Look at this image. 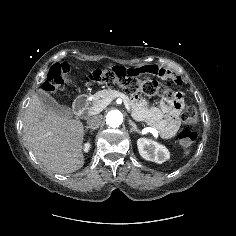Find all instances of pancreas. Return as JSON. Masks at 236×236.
I'll use <instances>...</instances> for the list:
<instances>
[{"instance_id": "1", "label": "pancreas", "mask_w": 236, "mask_h": 236, "mask_svg": "<svg viewBox=\"0 0 236 236\" xmlns=\"http://www.w3.org/2000/svg\"><path fill=\"white\" fill-rule=\"evenodd\" d=\"M120 92L116 91V90H111V89H105V90H101L98 91L97 93H95L93 95V99H92V105L96 106L102 103V101L105 98H116V97H120ZM123 94V93H122ZM125 99L129 102V104L131 103L130 99L128 96H126L125 94H123Z\"/></svg>"}]
</instances>
